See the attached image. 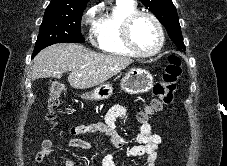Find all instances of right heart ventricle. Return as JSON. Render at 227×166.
I'll use <instances>...</instances> for the list:
<instances>
[{
	"label": "right heart ventricle",
	"instance_id": "e07e8e85",
	"mask_svg": "<svg viewBox=\"0 0 227 166\" xmlns=\"http://www.w3.org/2000/svg\"><path fill=\"white\" fill-rule=\"evenodd\" d=\"M136 11L133 1L116 0L110 10L101 15L94 24L96 47L108 54L134 56L124 44L121 30L126 17Z\"/></svg>",
	"mask_w": 227,
	"mask_h": 166
}]
</instances>
